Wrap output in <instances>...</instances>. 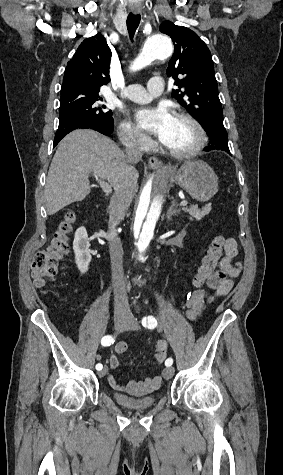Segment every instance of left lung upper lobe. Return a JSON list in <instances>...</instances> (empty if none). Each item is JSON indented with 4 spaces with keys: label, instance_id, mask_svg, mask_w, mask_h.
<instances>
[{
    "label": "left lung upper lobe",
    "instance_id": "5c2ea615",
    "mask_svg": "<svg viewBox=\"0 0 283 475\" xmlns=\"http://www.w3.org/2000/svg\"><path fill=\"white\" fill-rule=\"evenodd\" d=\"M160 31L169 35L175 45L167 75H173L181 90H173L172 97L185 107L202 125L206 121L222 120V106L218 97L211 53L199 36L170 21L160 25ZM178 74L182 79L177 78Z\"/></svg>",
    "mask_w": 283,
    "mask_h": 475
}]
</instances>
